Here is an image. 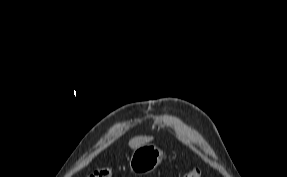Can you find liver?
I'll return each instance as SVG.
<instances>
[{
    "label": "liver",
    "instance_id": "liver-1",
    "mask_svg": "<svg viewBox=\"0 0 287 177\" xmlns=\"http://www.w3.org/2000/svg\"><path fill=\"white\" fill-rule=\"evenodd\" d=\"M152 140H153V137L138 136L129 141V146L132 149H136L139 146L147 144L148 142Z\"/></svg>",
    "mask_w": 287,
    "mask_h": 177
}]
</instances>
